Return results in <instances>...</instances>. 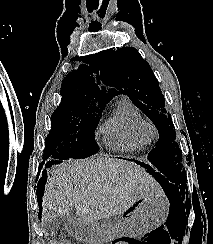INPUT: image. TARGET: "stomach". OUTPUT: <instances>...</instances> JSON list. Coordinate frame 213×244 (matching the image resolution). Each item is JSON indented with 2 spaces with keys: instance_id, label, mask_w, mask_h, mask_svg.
I'll return each mask as SVG.
<instances>
[{
  "instance_id": "1",
  "label": "stomach",
  "mask_w": 213,
  "mask_h": 244,
  "mask_svg": "<svg viewBox=\"0 0 213 244\" xmlns=\"http://www.w3.org/2000/svg\"><path fill=\"white\" fill-rule=\"evenodd\" d=\"M165 218L161 199L150 195L134 202L120 221H71L68 229L74 236L87 239V244H100V239H125V234L142 235L158 227Z\"/></svg>"
}]
</instances>
